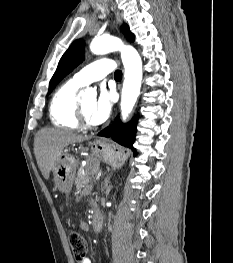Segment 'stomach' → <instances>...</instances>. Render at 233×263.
I'll use <instances>...</instances> for the list:
<instances>
[{
  "instance_id": "obj_1",
  "label": "stomach",
  "mask_w": 233,
  "mask_h": 263,
  "mask_svg": "<svg viewBox=\"0 0 233 263\" xmlns=\"http://www.w3.org/2000/svg\"><path fill=\"white\" fill-rule=\"evenodd\" d=\"M92 154L112 165L113 167H121L127 159V154L122 151H116L110 144L100 141H94L91 144ZM75 159L62 152L55 167L52 169L53 181L55 188L68 193L72 187V181L76 172Z\"/></svg>"
}]
</instances>
